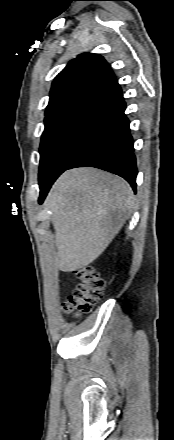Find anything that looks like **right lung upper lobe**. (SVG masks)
Masks as SVG:
<instances>
[{
    "instance_id": "right-lung-upper-lobe-1",
    "label": "right lung upper lobe",
    "mask_w": 174,
    "mask_h": 440,
    "mask_svg": "<svg viewBox=\"0 0 174 440\" xmlns=\"http://www.w3.org/2000/svg\"><path fill=\"white\" fill-rule=\"evenodd\" d=\"M115 84L117 80L102 56L81 54L55 77L45 115L84 98L99 96Z\"/></svg>"
}]
</instances>
